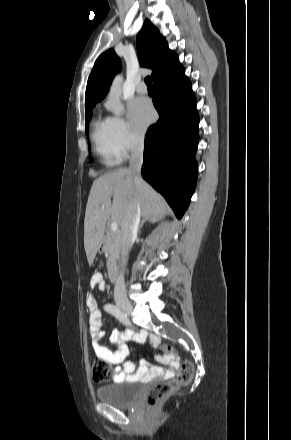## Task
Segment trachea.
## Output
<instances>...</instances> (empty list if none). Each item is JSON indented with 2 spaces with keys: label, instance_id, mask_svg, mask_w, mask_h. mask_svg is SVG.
<instances>
[{
  "label": "trachea",
  "instance_id": "3493384b",
  "mask_svg": "<svg viewBox=\"0 0 291 440\" xmlns=\"http://www.w3.org/2000/svg\"><path fill=\"white\" fill-rule=\"evenodd\" d=\"M145 83L147 84V87H148V88H153V87H152V79H151V77H149V76L146 77V78H145Z\"/></svg>",
  "mask_w": 291,
  "mask_h": 440
}]
</instances>
